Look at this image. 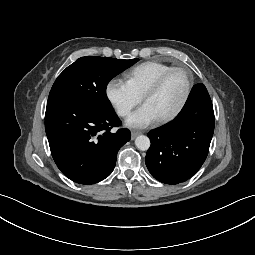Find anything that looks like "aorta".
Masks as SVG:
<instances>
[{
	"instance_id": "1",
	"label": "aorta",
	"mask_w": 255,
	"mask_h": 255,
	"mask_svg": "<svg viewBox=\"0 0 255 255\" xmlns=\"http://www.w3.org/2000/svg\"><path fill=\"white\" fill-rule=\"evenodd\" d=\"M150 139L145 135H140L135 139L136 147L141 151H146L150 148Z\"/></svg>"
}]
</instances>
